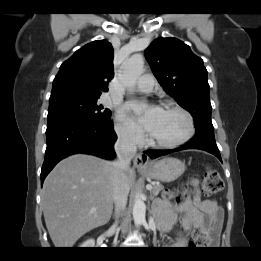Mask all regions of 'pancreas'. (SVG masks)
Segmentation results:
<instances>
[{"label":"pancreas","instance_id":"obj_1","mask_svg":"<svg viewBox=\"0 0 261 261\" xmlns=\"http://www.w3.org/2000/svg\"><path fill=\"white\" fill-rule=\"evenodd\" d=\"M162 189H163L162 185H154L151 191V195L153 197L157 196Z\"/></svg>","mask_w":261,"mask_h":261}]
</instances>
